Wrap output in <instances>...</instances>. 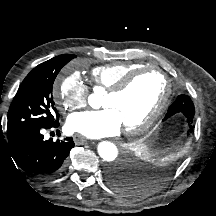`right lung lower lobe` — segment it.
I'll use <instances>...</instances> for the list:
<instances>
[{
  "label": "right lung lower lobe",
  "mask_w": 216,
  "mask_h": 216,
  "mask_svg": "<svg viewBox=\"0 0 216 216\" xmlns=\"http://www.w3.org/2000/svg\"><path fill=\"white\" fill-rule=\"evenodd\" d=\"M59 125L57 121L47 127L26 128L7 133L6 143L11 156L22 170L40 179L52 178L63 170L66 158L75 145L73 138L67 137L56 142L52 139L45 141L41 134L43 129H56Z\"/></svg>",
  "instance_id": "obj_1"
}]
</instances>
